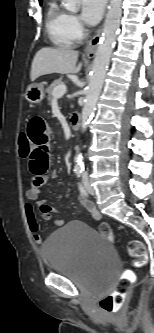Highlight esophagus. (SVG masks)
I'll list each match as a JSON object with an SVG mask.
<instances>
[{
	"mask_svg": "<svg viewBox=\"0 0 154 333\" xmlns=\"http://www.w3.org/2000/svg\"><path fill=\"white\" fill-rule=\"evenodd\" d=\"M101 33H102V27H100L98 29V31L95 34V36L89 41V43L85 47L84 54L86 56H88V57L94 56L96 48H97V45L99 43V39L101 37Z\"/></svg>",
	"mask_w": 154,
	"mask_h": 333,
	"instance_id": "1",
	"label": "esophagus"
}]
</instances>
